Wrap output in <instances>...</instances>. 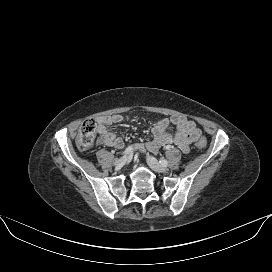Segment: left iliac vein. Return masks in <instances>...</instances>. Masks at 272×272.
<instances>
[{
    "instance_id": "obj_1",
    "label": "left iliac vein",
    "mask_w": 272,
    "mask_h": 272,
    "mask_svg": "<svg viewBox=\"0 0 272 272\" xmlns=\"http://www.w3.org/2000/svg\"><path fill=\"white\" fill-rule=\"evenodd\" d=\"M147 163L150 166V168L152 170H154L155 172L158 173H165L167 171V169L165 168V166L161 165L156 158L150 156L147 158Z\"/></svg>"
}]
</instances>
